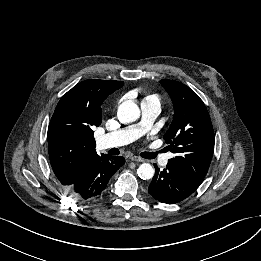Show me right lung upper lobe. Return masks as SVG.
Segmentation results:
<instances>
[{"instance_id": "1", "label": "right lung upper lobe", "mask_w": 261, "mask_h": 261, "mask_svg": "<svg viewBox=\"0 0 261 261\" xmlns=\"http://www.w3.org/2000/svg\"><path fill=\"white\" fill-rule=\"evenodd\" d=\"M122 81L89 79L62 96L48 129L51 167L64 186L75 182L96 153L94 127L101 124V104Z\"/></svg>"}]
</instances>
